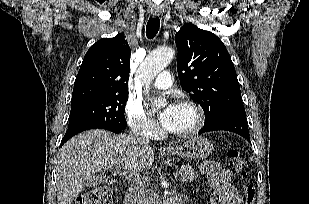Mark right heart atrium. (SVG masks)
<instances>
[{
  "mask_svg": "<svg viewBox=\"0 0 309 204\" xmlns=\"http://www.w3.org/2000/svg\"><path fill=\"white\" fill-rule=\"evenodd\" d=\"M127 121L134 132L152 139L158 134L157 123L147 114L140 101L129 99L126 104Z\"/></svg>",
  "mask_w": 309,
  "mask_h": 204,
  "instance_id": "right-heart-atrium-1",
  "label": "right heart atrium"
}]
</instances>
